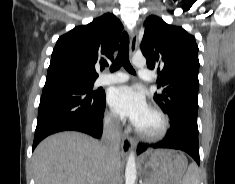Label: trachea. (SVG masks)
Returning <instances> with one entry per match:
<instances>
[{
    "instance_id": "trachea-1",
    "label": "trachea",
    "mask_w": 235,
    "mask_h": 184,
    "mask_svg": "<svg viewBox=\"0 0 235 184\" xmlns=\"http://www.w3.org/2000/svg\"><path fill=\"white\" fill-rule=\"evenodd\" d=\"M121 66L125 67L130 74H135V70L129 62V37L127 32L122 35L118 55L111 66V71H116Z\"/></svg>"
}]
</instances>
